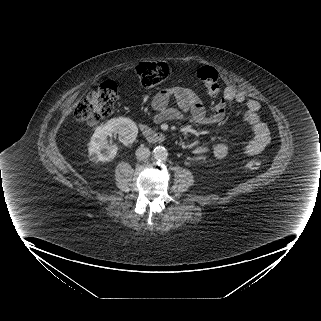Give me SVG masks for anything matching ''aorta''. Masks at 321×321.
Returning a JSON list of instances; mask_svg holds the SVG:
<instances>
[{
  "label": "aorta",
  "instance_id": "aorta-1",
  "mask_svg": "<svg viewBox=\"0 0 321 321\" xmlns=\"http://www.w3.org/2000/svg\"><path fill=\"white\" fill-rule=\"evenodd\" d=\"M168 156V152L165 147L157 146L153 150V157L156 160H165Z\"/></svg>",
  "mask_w": 321,
  "mask_h": 321
}]
</instances>
